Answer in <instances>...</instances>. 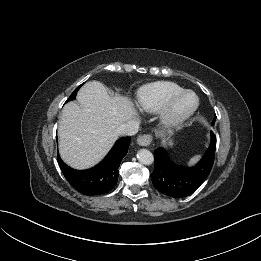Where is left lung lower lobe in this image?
I'll return each instance as SVG.
<instances>
[{
  "instance_id": "left-lung-lower-lobe-1",
  "label": "left lung lower lobe",
  "mask_w": 261,
  "mask_h": 261,
  "mask_svg": "<svg viewBox=\"0 0 261 261\" xmlns=\"http://www.w3.org/2000/svg\"><path fill=\"white\" fill-rule=\"evenodd\" d=\"M216 150V136L211 132L210 144L202 159L192 167L174 164L164 148L154 152V171L151 174L155 188L170 197L183 198L196 191L209 175Z\"/></svg>"
}]
</instances>
